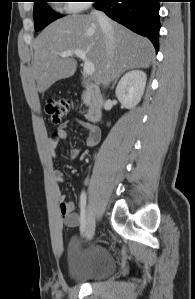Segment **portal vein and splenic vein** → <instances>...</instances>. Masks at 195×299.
Wrapping results in <instances>:
<instances>
[{
  "label": "portal vein and splenic vein",
  "mask_w": 195,
  "mask_h": 299,
  "mask_svg": "<svg viewBox=\"0 0 195 299\" xmlns=\"http://www.w3.org/2000/svg\"><path fill=\"white\" fill-rule=\"evenodd\" d=\"M71 55H76L77 57H79L80 59L83 60L84 62V73L88 76L93 75L94 71H95V67L94 64L87 58L86 53L83 50H67L64 51L62 53H60V56L65 58Z\"/></svg>",
  "instance_id": "portal-vein-and-splenic-vein-1"
}]
</instances>
